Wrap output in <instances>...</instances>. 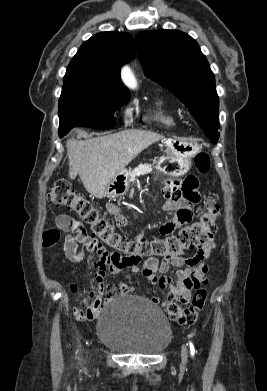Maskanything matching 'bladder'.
Returning <instances> with one entry per match:
<instances>
[{"instance_id":"1","label":"bladder","mask_w":267,"mask_h":391,"mask_svg":"<svg viewBox=\"0 0 267 391\" xmlns=\"http://www.w3.org/2000/svg\"><path fill=\"white\" fill-rule=\"evenodd\" d=\"M97 336L103 345L120 353L155 355L169 345L172 328L160 308L137 297L122 296L103 308Z\"/></svg>"}]
</instances>
